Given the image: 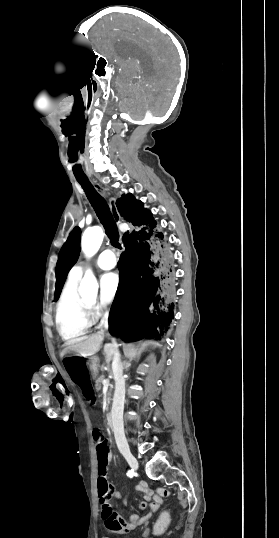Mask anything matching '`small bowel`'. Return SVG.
Instances as JSON below:
<instances>
[{
    "instance_id": "1",
    "label": "small bowel",
    "mask_w": 279,
    "mask_h": 538,
    "mask_svg": "<svg viewBox=\"0 0 279 538\" xmlns=\"http://www.w3.org/2000/svg\"><path fill=\"white\" fill-rule=\"evenodd\" d=\"M112 456L109 455L108 458V464L111 462ZM135 490L140 491L143 494L144 500L139 503L140 510H145L148 506V502L152 500V503L150 504V511L143 515H137L134 514L129 517V519H124L123 517L113 513V515L107 517L103 516L105 526L107 530L113 533H119L124 534L128 533L131 530L137 528L139 525L143 524L144 522L148 521L151 517V515L155 512H157L161 500L159 497L155 496L152 492V490L145 484V483H139L135 487ZM114 498L120 499L121 496L118 493H115ZM124 504H126V498L124 499Z\"/></svg>"
}]
</instances>
